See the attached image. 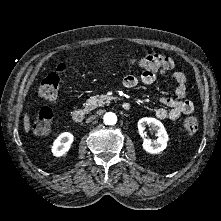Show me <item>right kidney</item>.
Listing matches in <instances>:
<instances>
[{
	"label": "right kidney",
	"instance_id": "obj_1",
	"mask_svg": "<svg viewBox=\"0 0 221 221\" xmlns=\"http://www.w3.org/2000/svg\"><path fill=\"white\" fill-rule=\"evenodd\" d=\"M73 140L74 136L70 132L61 133L53 142L52 154L56 157L65 156L71 148Z\"/></svg>",
	"mask_w": 221,
	"mask_h": 221
}]
</instances>
